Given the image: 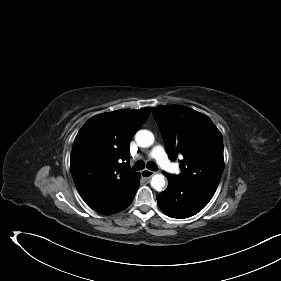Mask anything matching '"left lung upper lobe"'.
Segmentation results:
<instances>
[{
	"mask_svg": "<svg viewBox=\"0 0 281 281\" xmlns=\"http://www.w3.org/2000/svg\"><path fill=\"white\" fill-rule=\"evenodd\" d=\"M169 158L178 154L182 172L170 179L196 183L215 192L224 168L222 135L211 119L191 108L177 105L152 109Z\"/></svg>",
	"mask_w": 281,
	"mask_h": 281,
	"instance_id": "1",
	"label": "left lung upper lobe"
}]
</instances>
